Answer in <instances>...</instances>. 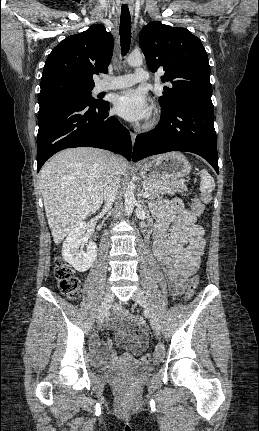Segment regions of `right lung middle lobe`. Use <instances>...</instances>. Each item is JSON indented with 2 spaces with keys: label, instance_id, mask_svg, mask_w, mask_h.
Wrapping results in <instances>:
<instances>
[{
  "label": "right lung middle lobe",
  "instance_id": "1",
  "mask_svg": "<svg viewBox=\"0 0 259 431\" xmlns=\"http://www.w3.org/2000/svg\"><path fill=\"white\" fill-rule=\"evenodd\" d=\"M93 88H82L69 82H51L41 89L38 97L39 105L56 100V99H77L89 103H100L91 95Z\"/></svg>",
  "mask_w": 259,
  "mask_h": 431
}]
</instances>
